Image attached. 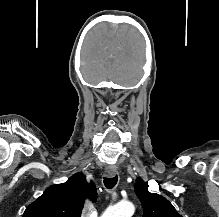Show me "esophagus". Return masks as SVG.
Segmentation results:
<instances>
[{"label":"esophagus","instance_id":"esophagus-1","mask_svg":"<svg viewBox=\"0 0 219 217\" xmlns=\"http://www.w3.org/2000/svg\"><path fill=\"white\" fill-rule=\"evenodd\" d=\"M106 173L109 177H114L117 173V170L115 168H107Z\"/></svg>","mask_w":219,"mask_h":217}]
</instances>
